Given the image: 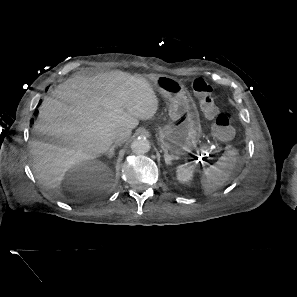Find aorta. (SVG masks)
<instances>
[{
  "instance_id": "762f6f07",
  "label": "aorta",
  "mask_w": 297,
  "mask_h": 297,
  "mask_svg": "<svg viewBox=\"0 0 297 297\" xmlns=\"http://www.w3.org/2000/svg\"><path fill=\"white\" fill-rule=\"evenodd\" d=\"M131 150L135 154H144L150 150V143L145 138H138L131 143Z\"/></svg>"
}]
</instances>
